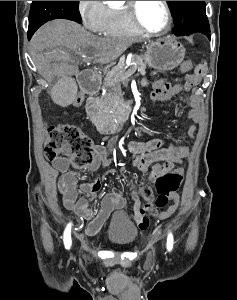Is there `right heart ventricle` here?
<instances>
[{"mask_svg": "<svg viewBox=\"0 0 237 300\" xmlns=\"http://www.w3.org/2000/svg\"><path fill=\"white\" fill-rule=\"evenodd\" d=\"M109 34L118 36H137L140 31L132 24L125 5L110 8Z\"/></svg>", "mask_w": 237, "mask_h": 300, "instance_id": "e07e8e85", "label": "right heart ventricle"}]
</instances>
